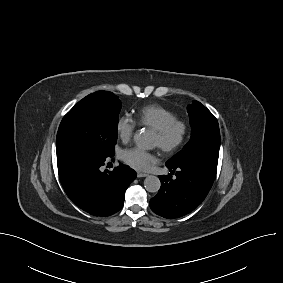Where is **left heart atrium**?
Returning a JSON list of instances; mask_svg holds the SVG:
<instances>
[{"mask_svg":"<svg viewBox=\"0 0 283 283\" xmlns=\"http://www.w3.org/2000/svg\"><path fill=\"white\" fill-rule=\"evenodd\" d=\"M125 163L138 170H147L156 161V156L140 147H130L123 151Z\"/></svg>","mask_w":283,"mask_h":283,"instance_id":"39dd6f15","label":"left heart atrium"}]
</instances>
